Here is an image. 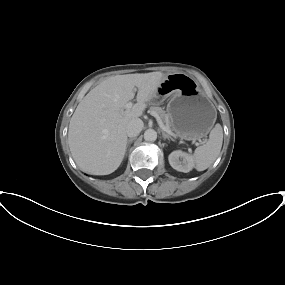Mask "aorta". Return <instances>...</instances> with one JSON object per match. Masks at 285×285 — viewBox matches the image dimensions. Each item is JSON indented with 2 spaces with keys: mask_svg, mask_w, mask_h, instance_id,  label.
<instances>
[{
  "mask_svg": "<svg viewBox=\"0 0 285 285\" xmlns=\"http://www.w3.org/2000/svg\"><path fill=\"white\" fill-rule=\"evenodd\" d=\"M157 139V132L154 129H147L144 132V140L147 142H154Z\"/></svg>",
  "mask_w": 285,
  "mask_h": 285,
  "instance_id": "762f6f07",
  "label": "aorta"
}]
</instances>
